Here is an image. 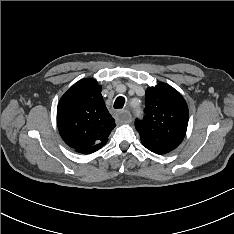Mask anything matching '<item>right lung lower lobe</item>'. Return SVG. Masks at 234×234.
<instances>
[{"instance_id":"obj_1","label":"right lung lower lobe","mask_w":234,"mask_h":234,"mask_svg":"<svg viewBox=\"0 0 234 234\" xmlns=\"http://www.w3.org/2000/svg\"><path fill=\"white\" fill-rule=\"evenodd\" d=\"M100 148L101 147H90V148L77 150V152H80V153H83V154H90V153H93V152L97 151Z\"/></svg>"}]
</instances>
